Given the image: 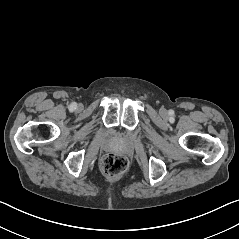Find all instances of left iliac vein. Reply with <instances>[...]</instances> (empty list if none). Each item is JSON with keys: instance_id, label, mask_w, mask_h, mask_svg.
<instances>
[{"instance_id": "obj_1", "label": "left iliac vein", "mask_w": 239, "mask_h": 239, "mask_svg": "<svg viewBox=\"0 0 239 239\" xmlns=\"http://www.w3.org/2000/svg\"><path fill=\"white\" fill-rule=\"evenodd\" d=\"M160 114H161V116H166L167 112L164 108H162V109H160Z\"/></svg>"}]
</instances>
